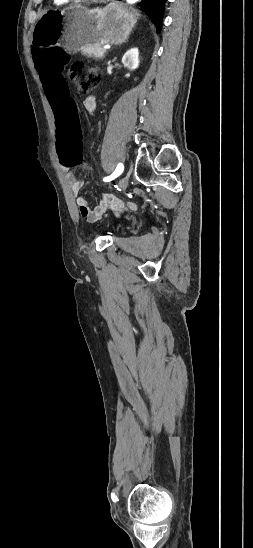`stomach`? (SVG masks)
Segmentation results:
<instances>
[{"instance_id":"stomach-1","label":"stomach","mask_w":253,"mask_h":548,"mask_svg":"<svg viewBox=\"0 0 253 548\" xmlns=\"http://www.w3.org/2000/svg\"><path fill=\"white\" fill-rule=\"evenodd\" d=\"M137 19L136 12L124 10L118 3L96 9L77 5L52 10L37 22L34 42L60 43L69 53H77L86 46L121 44L129 37Z\"/></svg>"}]
</instances>
